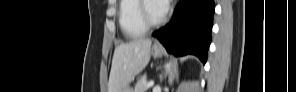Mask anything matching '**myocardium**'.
Masks as SVG:
<instances>
[{
    "mask_svg": "<svg viewBox=\"0 0 296 92\" xmlns=\"http://www.w3.org/2000/svg\"><path fill=\"white\" fill-rule=\"evenodd\" d=\"M150 1H141L140 2V8H139V18L142 23V25L146 29H152L160 26L164 22V18L161 17L158 20H152L149 16L148 12V5Z\"/></svg>",
    "mask_w": 296,
    "mask_h": 92,
    "instance_id": "myocardium-1",
    "label": "myocardium"
}]
</instances>
